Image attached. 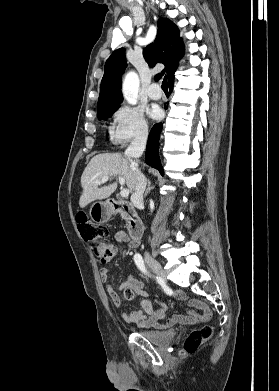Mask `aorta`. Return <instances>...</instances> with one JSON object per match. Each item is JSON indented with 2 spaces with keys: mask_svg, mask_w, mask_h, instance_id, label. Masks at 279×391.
<instances>
[{
  "mask_svg": "<svg viewBox=\"0 0 279 391\" xmlns=\"http://www.w3.org/2000/svg\"><path fill=\"white\" fill-rule=\"evenodd\" d=\"M138 89H139L138 75L133 71L127 73L123 80L122 93L125 100L129 104L135 105L137 103Z\"/></svg>",
  "mask_w": 279,
  "mask_h": 391,
  "instance_id": "1",
  "label": "aorta"
}]
</instances>
